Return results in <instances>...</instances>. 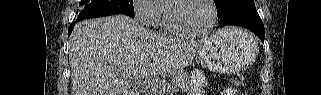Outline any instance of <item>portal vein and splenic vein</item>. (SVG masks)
Returning a JSON list of instances; mask_svg holds the SVG:
<instances>
[{
  "mask_svg": "<svg viewBox=\"0 0 321 95\" xmlns=\"http://www.w3.org/2000/svg\"><path fill=\"white\" fill-rule=\"evenodd\" d=\"M132 80L138 85H147L150 88L160 89L163 86V90H165V82L162 80H155L151 77L140 78L137 74H133Z\"/></svg>",
  "mask_w": 321,
  "mask_h": 95,
  "instance_id": "obj_1",
  "label": "portal vein and splenic vein"
}]
</instances>
